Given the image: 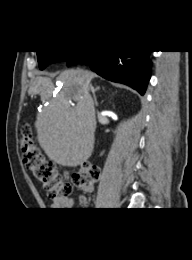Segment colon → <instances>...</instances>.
<instances>
[{
    "instance_id": "obj_1",
    "label": "colon",
    "mask_w": 192,
    "mask_h": 260,
    "mask_svg": "<svg viewBox=\"0 0 192 260\" xmlns=\"http://www.w3.org/2000/svg\"><path fill=\"white\" fill-rule=\"evenodd\" d=\"M21 148L23 162L38 180L48 196L53 200H61L70 197L72 185L67 177L60 173L55 165L48 161L41 150L34 144L32 131L28 124H24L21 130ZM100 175L99 168L92 163H84L81 168L72 175L75 185L84 193L91 192Z\"/></svg>"
}]
</instances>
